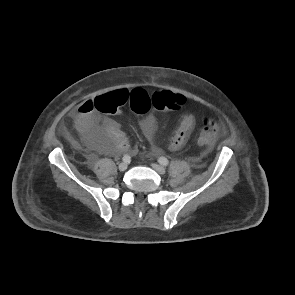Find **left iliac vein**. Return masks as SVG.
<instances>
[{
  "label": "left iliac vein",
  "mask_w": 295,
  "mask_h": 295,
  "mask_svg": "<svg viewBox=\"0 0 295 295\" xmlns=\"http://www.w3.org/2000/svg\"><path fill=\"white\" fill-rule=\"evenodd\" d=\"M151 166H152V168H153L155 171H157L160 175H163V174L166 173V169H165L163 166L159 165V164H155V163H153Z\"/></svg>",
  "instance_id": "1"
}]
</instances>
